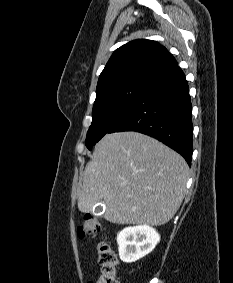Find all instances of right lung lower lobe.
<instances>
[{
    "instance_id": "98d812e1",
    "label": "right lung lower lobe",
    "mask_w": 233,
    "mask_h": 283,
    "mask_svg": "<svg viewBox=\"0 0 233 283\" xmlns=\"http://www.w3.org/2000/svg\"><path fill=\"white\" fill-rule=\"evenodd\" d=\"M120 131H136L156 138L191 165L192 105L179 66L150 81L108 133Z\"/></svg>"
}]
</instances>
